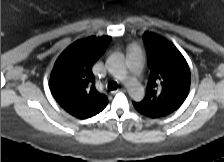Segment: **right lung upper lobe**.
<instances>
[{
	"mask_svg": "<svg viewBox=\"0 0 224 162\" xmlns=\"http://www.w3.org/2000/svg\"><path fill=\"white\" fill-rule=\"evenodd\" d=\"M110 40V36L78 40L55 62L50 77L51 92L59 105L76 118H90L108 104L107 97L95 88L92 66Z\"/></svg>",
	"mask_w": 224,
	"mask_h": 162,
	"instance_id": "right-lung-upper-lobe-1",
	"label": "right lung upper lobe"
}]
</instances>
